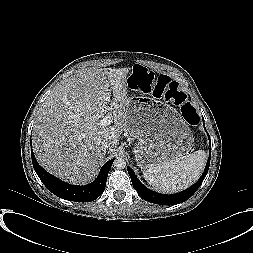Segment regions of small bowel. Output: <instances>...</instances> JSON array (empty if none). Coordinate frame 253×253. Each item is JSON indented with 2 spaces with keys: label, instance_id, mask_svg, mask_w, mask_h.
I'll return each instance as SVG.
<instances>
[{
  "label": "small bowel",
  "instance_id": "obj_1",
  "mask_svg": "<svg viewBox=\"0 0 253 253\" xmlns=\"http://www.w3.org/2000/svg\"><path fill=\"white\" fill-rule=\"evenodd\" d=\"M151 73V72H150ZM156 75L152 73V76L144 80H135L133 82V87L139 90L146 91L148 93L156 94Z\"/></svg>",
  "mask_w": 253,
  "mask_h": 253
}]
</instances>
